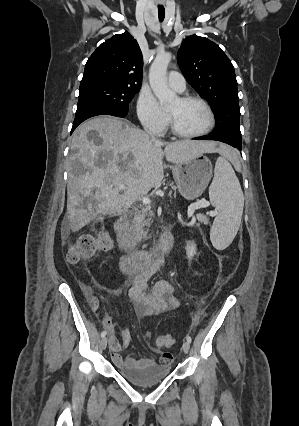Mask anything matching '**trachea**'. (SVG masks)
I'll return each mask as SVG.
<instances>
[{
    "label": "trachea",
    "instance_id": "3493384b",
    "mask_svg": "<svg viewBox=\"0 0 299 426\" xmlns=\"http://www.w3.org/2000/svg\"><path fill=\"white\" fill-rule=\"evenodd\" d=\"M158 18L160 22H162L165 18V9L163 7L158 8Z\"/></svg>",
    "mask_w": 299,
    "mask_h": 426
}]
</instances>
